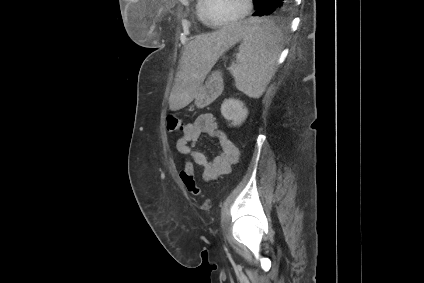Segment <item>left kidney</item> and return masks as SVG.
Returning <instances> with one entry per match:
<instances>
[{"label": "left kidney", "instance_id": "1", "mask_svg": "<svg viewBox=\"0 0 424 283\" xmlns=\"http://www.w3.org/2000/svg\"><path fill=\"white\" fill-rule=\"evenodd\" d=\"M223 117L232 121L233 126H239L247 118L248 110L244 104L236 99H226L221 106Z\"/></svg>", "mask_w": 424, "mask_h": 283}]
</instances>
